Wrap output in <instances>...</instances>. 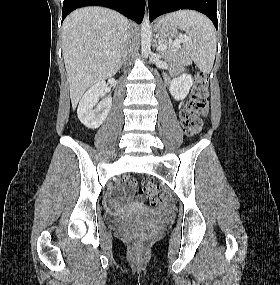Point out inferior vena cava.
<instances>
[{
    "instance_id": "1",
    "label": "inferior vena cava",
    "mask_w": 280,
    "mask_h": 285,
    "mask_svg": "<svg viewBox=\"0 0 280 285\" xmlns=\"http://www.w3.org/2000/svg\"><path fill=\"white\" fill-rule=\"evenodd\" d=\"M129 43H130V34H129V32H127L126 36H125V46H124V49H123V52H122L123 59L126 57V55L128 53Z\"/></svg>"
}]
</instances>
